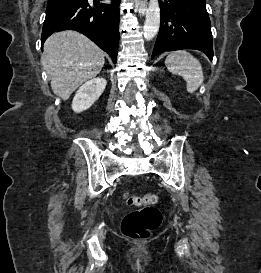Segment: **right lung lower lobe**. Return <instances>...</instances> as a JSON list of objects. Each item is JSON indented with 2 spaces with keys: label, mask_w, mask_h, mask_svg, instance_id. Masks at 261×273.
<instances>
[{
  "label": "right lung lower lobe",
  "mask_w": 261,
  "mask_h": 273,
  "mask_svg": "<svg viewBox=\"0 0 261 273\" xmlns=\"http://www.w3.org/2000/svg\"><path fill=\"white\" fill-rule=\"evenodd\" d=\"M112 2L108 5L98 0H48L42 44L56 31L76 30L95 42L116 63L120 0Z\"/></svg>",
  "instance_id": "right-lung-lower-lobe-1"
}]
</instances>
